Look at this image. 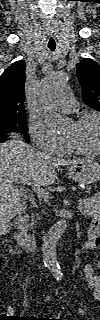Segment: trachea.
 I'll list each match as a JSON object with an SVG mask.
<instances>
[{"mask_svg": "<svg viewBox=\"0 0 100 320\" xmlns=\"http://www.w3.org/2000/svg\"><path fill=\"white\" fill-rule=\"evenodd\" d=\"M48 48L51 50V51H54L56 46L55 45H49Z\"/></svg>", "mask_w": 100, "mask_h": 320, "instance_id": "1", "label": "trachea"}]
</instances>
